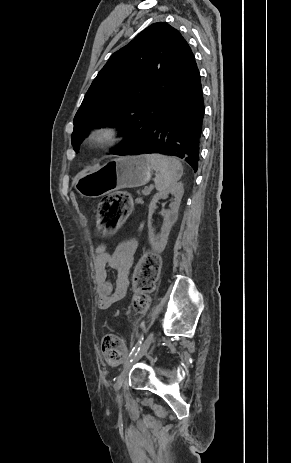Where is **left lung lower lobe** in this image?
<instances>
[{"mask_svg": "<svg viewBox=\"0 0 291 463\" xmlns=\"http://www.w3.org/2000/svg\"><path fill=\"white\" fill-rule=\"evenodd\" d=\"M204 102L200 74L180 87L137 144L124 155L162 154L186 161L196 172L199 163Z\"/></svg>", "mask_w": 291, "mask_h": 463, "instance_id": "left-lung-lower-lobe-1", "label": "left lung lower lobe"}]
</instances>
